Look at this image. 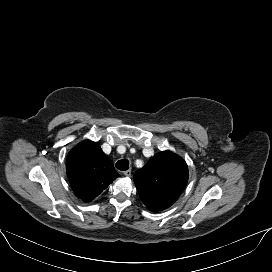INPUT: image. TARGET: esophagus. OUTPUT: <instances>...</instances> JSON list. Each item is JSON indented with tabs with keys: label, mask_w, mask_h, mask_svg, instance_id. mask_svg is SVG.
<instances>
[{
	"label": "esophagus",
	"mask_w": 272,
	"mask_h": 272,
	"mask_svg": "<svg viewBox=\"0 0 272 272\" xmlns=\"http://www.w3.org/2000/svg\"><path fill=\"white\" fill-rule=\"evenodd\" d=\"M124 175H125L126 177H130V176H131V170H130V169L126 170V171L124 172Z\"/></svg>",
	"instance_id": "obj_1"
}]
</instances>
